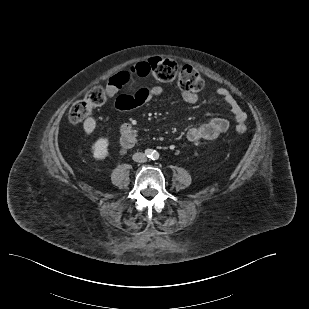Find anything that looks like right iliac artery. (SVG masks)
Returning a JSON list of instances; mask_svg holds the SVG:
<instances>
[{
	"label": "right iliac artery",
	"mask_w": 309,
	"mask_h": 309,
	"mask_svg": "<svg viewBox=\"0 0 309 309\" xmlns=\"http://www.w3.org/2000/svg\"><path fill=\"white\" fill-rule=\"evenodd\" d=\"M152 154H153L152 150H150V149L145 150V155H146L147 157H151Z\"/></svg>",
	"instance_id": "82829eb1"
}]
</instances>
